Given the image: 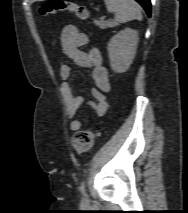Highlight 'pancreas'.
Here are the masks:
<instances>
[{
    "instance_id": "cf45deb5",
    "label": "pancreas",
    "mask_w": 188,
    "mask_h": 213,
    "mask_svg": "<svg viewBox=\"0 0 188 213\" xmlns=\"http://www.w3.org/2000/svg\"><path fill=\"white\" fill-rule=\"evenodd\" d=\"M94 24L96 26H99L101 29H106L108 27L113 28L118 25L116 21H103V20H94Z\"/></svg>"
}]
</instances>
